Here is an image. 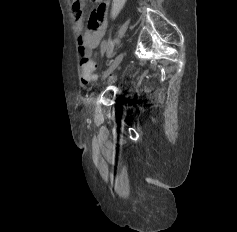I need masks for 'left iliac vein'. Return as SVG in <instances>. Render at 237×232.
<instances>
[{"instance_id": "obj_1", "label": "left iliac vein", "mask_w": 237, "mask_h": 232, "mask_svg": "<svg viewBox=\"0 0 237 232\" xmlns=\"http://www.w3.org/2000/svg\"><path fill=\"white\" fill-rule=\"evenodd\" d=\"M125 53L122 52L120 53L115 60L113 61V63L110 65V67L103 73L102 75V80H104L105 78H107L109 76V74H111L116 68L117 66L121 63V61L124 58Z\"/></svg>"}]
</instances>
